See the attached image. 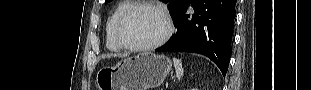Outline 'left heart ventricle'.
<instances>
[{"label": "left heart ventricle", "instance_id": "obj_1", "mask_svg": "<svg viewBox=\"0 0 311 90\" xmlns=\"http://www.w3.org/2000/svg\"><path fill=\"white\" fill-rule=\"evenodd\" d=\"M165 31L162 16L149 8L132 13L122 27V37L134 46H143L157 41Z\"/></svg>", "mask_w": 311, "mask_h": 90}]
</instances>
